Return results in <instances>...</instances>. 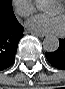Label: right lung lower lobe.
<instances>
[{"label":"right lung lower lobe","instance_id":"obj_1","mask_svg":"<svg viewBox=\"0 0 65 89\" xmlns=\"http://www.w3.org/2000/svg\"><path fill=\"white\" fill-rule=\"evenodd\" d=\"M24 28L15 18L0 17V71L9 68L14 60Z\"/></svg>","mask_w":65,"mask_h":89}]
</instances>
